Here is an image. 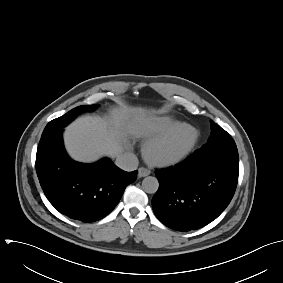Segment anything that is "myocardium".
Wrapping results in <instances>:
<instances>
[{"label":"myocardium","instance_id":"f54148a6","mask_svg":"<svg viewBox=\"0 0 283 283\" xmlns=\"http://www.w3.org/2000/svg\"><path fill=\"white\" fill-rule=\"evenodd\" d=\"M189 132V140L176 151L168 148L183 132ZM200 134L198 130L187 123H182L167 134L149 141L144 147V155L154 165L169 167L181 163L195 149Z\"/></svg>","mask_w":283,"mask_h":283}]
</instances>
